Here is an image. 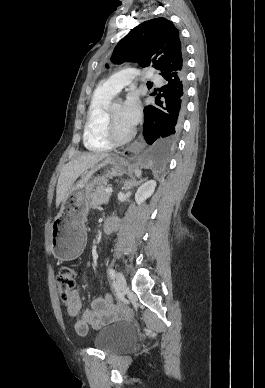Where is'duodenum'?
Masks as SVG:
<instances>
[{
	"instance_id": "obj_1",
	"label": "duodenum",
	"mask_w": 265,
	"mask_h": 388,
	"mask_svg": "<svg viewBox=\"0 0 265 388\" xmlns=\"http://www.w3.org/2000/svg\"><path fill=\"white\" fill-rule=\"evenodd\" d=\"M117 225V220L114 217H108L104 221L103 225V231L105 234H110L114 231L115 227Z\"/></svg>"
}]
</instances>
